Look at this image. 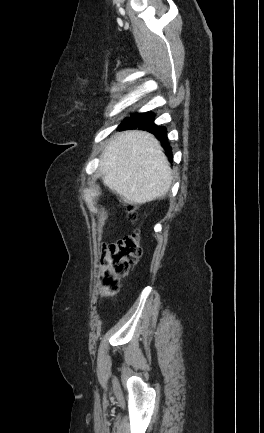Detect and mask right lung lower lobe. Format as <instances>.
Listing matches in <instances>:
<instances>
[{"mask_svg":"<svg viewBox=\"0 0 264 433\" xmlns=\"http://www.w3.org/2000/svg\"><path fill=\"white\" fill-rule=\"evenodd\" d=\"M155 114L153 112L138 113L130 118L125 119L119 126L120 130L124 129H142L153 133L163 144L166 150L171 151L167 142L166 128L154 124Z\"/></svg>","mask_w":264,"mask_h":433,"instance_id":"right-lung-lower-lobe-1","label":"right lung lower lobe"}]
</instances>
